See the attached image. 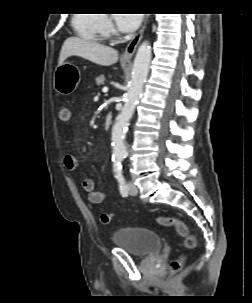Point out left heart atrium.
Returning a JSON list of instances; mask_svg holds the SVG:
<instances>
[{
  "label": "left heart atrium",
  "instance_id": "1",
  "mask_svg": "<svg viewBox=\"0 0 252 303\" xmlns=\"http://www.w3.org/2000/svg\"><path fill=\"white\" fill-rule=\"evenodd\" d=\"M114 18L118 29L123 32L134 31L141 22L140 14H115Z\"/></svg>",
  "mask_w": 252,
  "mask_h": 303
}]
</instances>
